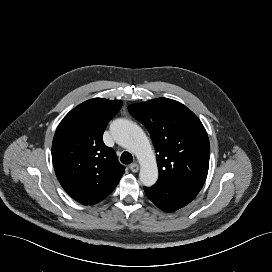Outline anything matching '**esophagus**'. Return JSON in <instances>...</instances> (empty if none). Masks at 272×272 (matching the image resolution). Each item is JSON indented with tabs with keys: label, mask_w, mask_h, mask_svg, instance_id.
I'll return each mask as SVG.
<instances>
[{
	"label": "esophagus",
	"mask_w": 272,
	"mask_h": 272,
	"mask_svg": "<svg viewBox=\"0 0 272 272\" xmlns=\"http://www.w3.org/2000/svg\"><path fill=\"white\" fill-rule=\"evenodd\" d=\"M130 170L134 173L139 171V165L137 163H133L129 166Z\"/></svg>",
	"instance_id": "obj_1"
}]
</instances>
